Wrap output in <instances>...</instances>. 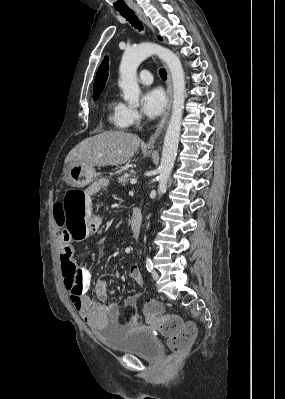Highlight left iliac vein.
I'll use <instances>...</instances> for the list:
<instances>
[{
	"mask_svg": "<svg viewBox=\"0 0 285 399\" xmlns=\"http://www.w3.org/2000/svg\"><path fill=\"white\" fill-rule=\"evenodd\" d=\"M152 278L157 281L159 279V273L156 270L152 271Z\"/></svg>",
	"mask_w": 285,
	"mask_h": 399,
	"instance_id": "4c4485c4",
	"label": "left iliac vein"
}]
</instances>
